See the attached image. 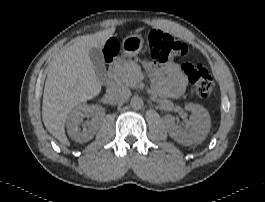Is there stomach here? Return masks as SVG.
<instances>
[{"mask_svg": "<svg viewBox=\"0 0 265 202\" xmlns=\"http://www.w3.org/2000/svg\"><path fill=\"white\" fill-rule=\"evenodd\" d=\"M144 46V39L139 34H130L122 41V53L125 57L137 55Z\"/></svg>", "mask_w": 265, "mask_h": 202, "instance_id": "stomach-1", "label": "stomach"}]
</instances>
